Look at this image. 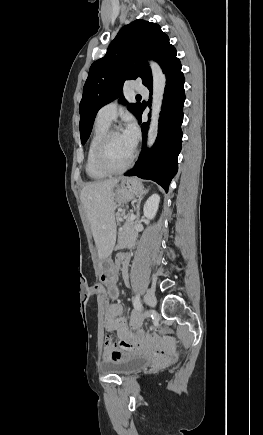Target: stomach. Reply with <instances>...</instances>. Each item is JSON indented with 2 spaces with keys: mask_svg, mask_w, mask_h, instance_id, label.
Instances as JSON below:
<instances>
[{
  "mask_svg": "<svg viewBox=\"0 0 263 435\" xmlns=\"http://www.w3.org/2000/svg\"><path fill=\"white\" fill-rule=\"evenodd\" d=\"M143 193L142 183L135 178H123L114 192L116 203L124 204L132 200L135 196ZM102 279L106 287L108 299H121L123 287L119 285L120 271L119 268H113L111 262L106 258L100 263Z\"/></svg>",
  "mask_w": 263,
  "mask_h": 435,
  "instance_id": "obj_1",
  "label": "stomach"
}]
</instances>
